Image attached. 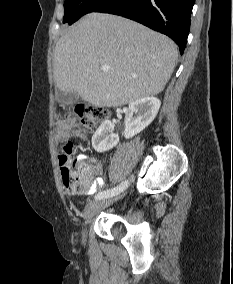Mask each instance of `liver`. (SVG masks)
Instances as JSON below:
<instances>
[{
  "instance_id": "obj_1",
  "label": "liver",
  "mask_w": 233,
  "mask_h": 284,
  "mask_svg": "<svg viewBox=\"0 0 233 284\" xmlns=\"http://www.w3.org/2000/svg\"><path fill=\"white\" fill-rule=\"evenodd\" d=\"M177 58L167 36L120 16L89 13L55 46V86L96 107H118L162 92Z\"/></svg>"
}]
</instances>
